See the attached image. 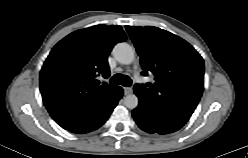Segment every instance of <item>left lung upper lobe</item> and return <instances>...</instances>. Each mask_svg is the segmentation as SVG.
<instances>
[{"mask_svg":"<svg viewBox=\"0 0 248 158\" xmlns=\"http://www.w3.org/2000/svg\"><path fill=\"white\" fill-rule=\"evenodd\" d=\"M143 69L155 82L136 84L134 92L143 102L169 120L184 125L203 93L204 61L182 38L153 26H126Z\"/></svg>","mask_w":248,"mask_h":158,"instance_id":"left-lung-upper-lobe-1","label":"left lung upper lobe"}]
</instances>
